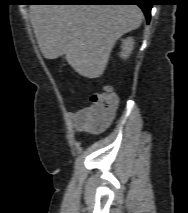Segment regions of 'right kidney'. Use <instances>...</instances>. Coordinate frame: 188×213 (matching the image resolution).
<instances>
[{
  "label": "right kidney",
  "mask_w": 188,
  "mask_h": 213,
  "mask_svg": "<svg viewBox=\"0 0 188 213\" xmlns=\"http://www.w3.org/2000/svg\"><path fill=\"white\" fill-rule=\"evenodd\" d=\"M133 50V38L128 37L124 39L122 42V52L120 53V57L123 59H127Z\"/></svg>",
  "instance_id": "right-kidney-1"
}]
</instances>
